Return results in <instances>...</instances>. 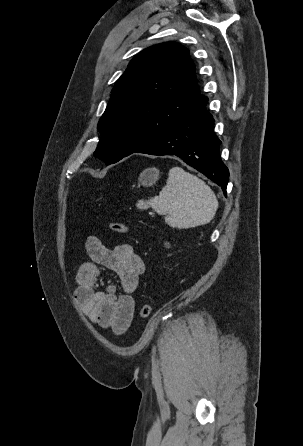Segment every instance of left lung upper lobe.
<instances>
[{"mask_svg": "<svg viewBox=\"0 0 303 446\" xmlns=\"http://www.w3.org/2000/svg\"><path fill=\"white\" fill-rule=\"evenodd\" d=\"M189 50L175 42L134 57L98 123L94 155L107 165L166 135L201 97Z\"/></svg>", "mask_w": 303, "mask_h": 446, "instance_id": "5c2ea615", "label": "left lung upper lobe"}]
</instances>
